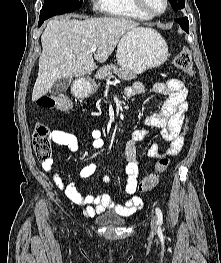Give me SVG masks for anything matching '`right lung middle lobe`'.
Instances as JSON below:
<instances>
[{"mask_svg": "<svg viewBox=\"0 0 221 263\" xmlns=\"http://www.w3.org/2000/svg\"><path fill=\"white\" fill-rule=\"evenodd\" d=\"M82 2L83 0H45L40 11V19L75 11L82 6Z\"/></svg>", "mask_w": 221, "mask_h": 263, "instance_id": "dd1d6c3e", "label": "right lung middle lobe"}]
</instances>
